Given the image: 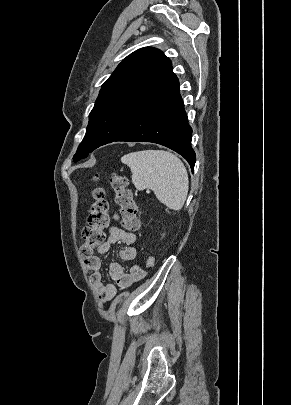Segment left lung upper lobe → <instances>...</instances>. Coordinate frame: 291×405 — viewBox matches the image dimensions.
Returning <instances> with one entry per match:
<instances>
[{
    "instance_id": "left-lung-upper-lobe-1",
    "label": "left lung upper lobe",
    "mask_w": 291,
    "mask_h": 405,
    "mask_svg": "<svg viewBox=\"0 0 291 405\" xmlns=\"http://www.w3.org/2000/svg\"><path fill=\"white\" fill-rule=\"evenodd\" d=\"M171 65L169 58L151 47L127 56L102 85L74 162L114 142L129 126L143 97Z\"/></svg>"
}]
</instances>
